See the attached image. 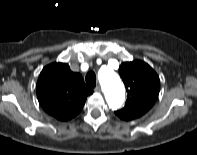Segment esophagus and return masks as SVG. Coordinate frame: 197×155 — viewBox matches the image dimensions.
<instances>
[{"instance_id":"esophagus-1","label":"esophagus","mask_w":197,"mask_h":155,"mask_svg":"<svg viewBox=\"0 0 197 155\" xmlns=\"http://www.w3.org/2000/svg\"><path fill=\"white\" fill-rule=\"evenodd\" d=\"M95 91H96V92H101L102 89H101V87L98 85V86H96Z\"/></svg>"}]
</instances>
